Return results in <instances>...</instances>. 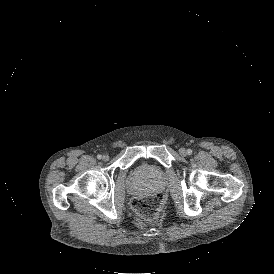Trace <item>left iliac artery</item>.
<instances>
[{"instance_id":"44dca946","label":"left iliac artery","mask_w":274,"mask_h":274,"mask_svg":"<svg viewBox=\"0 0 274 274\" xmlns=\"http://www.w3.org/2000/svg\"><path fill=\"white\" fill-rule=\"evenodd\" d=\"M187 154H188V155H191V154H192V150H191V149H188V150H187Z\"/></svg>"}]
</instances>
